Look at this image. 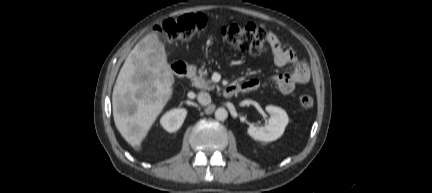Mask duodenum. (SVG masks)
<instances>
[{"instance_id":"duodenum-1","label":"duodenum","mask_w":432,"mask_h":193,"mask_svg":"<svg viewBox=\"0 0 432 193\" xmlns=\"http://www.w3.org/2000/svg\"><path fill=\"white\" fill-rule=\"evenodd\" d=\"M172 70L174 74L179 77H189L193 74L192 68L184 62L173 63ZM239 91H241V86L237 84H232L224 89L223 94L225 97H231Z\"/></svg>"}]
</instances>
